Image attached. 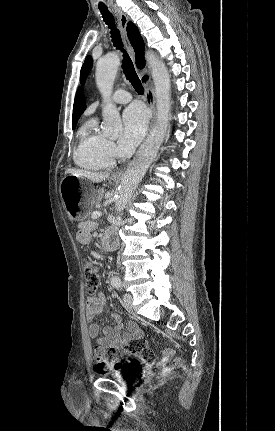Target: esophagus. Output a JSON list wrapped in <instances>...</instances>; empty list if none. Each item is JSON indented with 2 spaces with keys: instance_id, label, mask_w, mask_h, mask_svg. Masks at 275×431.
Masks as SVG:
<instances>
[{
  "instance_id": "1",
  "label": "esophagus",
  "mask_w": 275,
  "mask_h": 431,
  "mask_svg": "<svg viewBox=\"0 0 275 431\" xmlns=\"http://www.w3.org/2000/svg\"><path fill=\"white\" fill-rule=\"evenodd\" d=\"M116 16L118 18V23H119L121 37H122V41L124 43V46L127 49L130 57L134 60L135 53H134L133 47L130 44L128 36H127V25L129 22V18L126 14H124L120 10H116ZM137 71H138L139 77L141 79H143L145 74H146L145 70H137ZM144 86H145V100H146L147 105L150 107V109L152 111V119H151V126H150V128H152L154 121H155V117H156L155 94H154L153 86H152L150 81H146L144 83ZM113 175H115V176L123 175V169L116 170L113 173Z\"/></svg>"
}]
</instances>
